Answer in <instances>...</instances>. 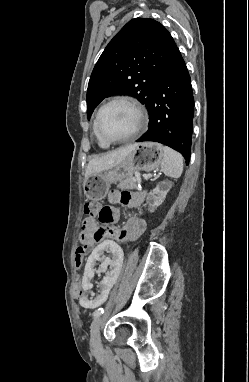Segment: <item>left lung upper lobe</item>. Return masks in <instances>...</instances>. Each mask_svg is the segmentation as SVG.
<instances>
[{"instance_id": "obj_1", "label": "left lung upper lobe", "mask_w": 249, "mask_h": 382, "mask_svg": "<svg viewBox=\"0 0 249 382\" xmlns=\"http://www.w3.org/2000/svg\"><path fill=\"white\" fill-rule=\"evenodd\" d=\"M177 46L169 31L148 18L129 21L106 46L87 90V117L111 95H131L147 108Z\"/></svg>"}]
</instances>
